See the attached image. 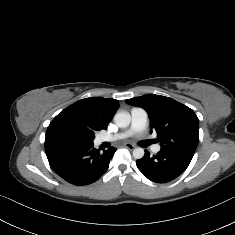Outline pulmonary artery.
I'll list each match as a JSON object with an SVG mask.
<instances>
[{
    "label": "pulmonary artery",
    "mask_w": 235,
    "mask_h": 235,
    "mask_svg": "<svg viewBox=\"0 0 235 235\" xmlns=\"http://www.w3.org/2000/svg\"><path fill=\"white\" fill-rule=\"evenodd\" d=\"M148 124V114L147 111L140 107H133L131 109V123L130 126L122 132L114 134L100 135L95 139V144L100 145L104 142H114L127 137L143 130ZM152 151L157 153L160 151V146L155 145Z\"/></svg>",
    "instance_id": "obj_1"
}]
</instances>
